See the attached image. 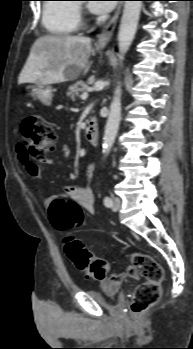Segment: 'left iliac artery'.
Listing matches in <instances>:
<instances>
[{"instance_id":"left-iliac-artery-1","label":"left iliac artery","mask_w":193,"mask_h":349,"mask_svg":"<svg viewBox=\"0 0 193 349\" xmlns=\"http://www.w3.org/2000/svg\"><path fill=\"white\" fill-rule=\"evenodd\" d=\"M103 201H104V205H105L106 207H111V205H112V200H111L110 197L106 196V197L104 198Z\"/></svg>"}]
</instances>
